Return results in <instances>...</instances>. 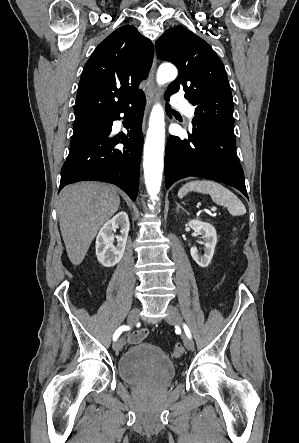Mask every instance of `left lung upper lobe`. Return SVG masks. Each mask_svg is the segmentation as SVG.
<instances>
[{
	"label": "left lung upper lobe",
	"instance_id": "left-lung-upper-lobe-1",
	"mask_svg": "<svg viewBox=\"0 0 299 443\" xmlns=\"http://www.w3.org/2000/svg\"><path fill=\"white\" fill-rule=\"evenodd\" d=\"M155 47L161 60L174 63L179 75L165 95L179 90L194 105L196 124H209L232 134L233 99L224 65L203 39L182 26H174L160 36Z\"/></svg>",
	"mask_w": 299,
	"mask_h": 443
}]
</instances>
